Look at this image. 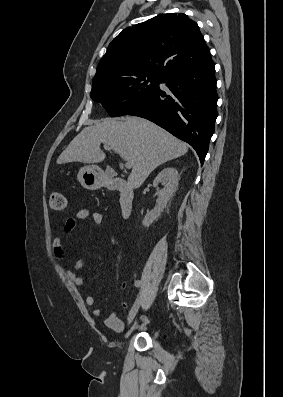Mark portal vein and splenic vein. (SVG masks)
Returning <instances> with one entry per match:
<instances>
[{"label":"portal vein and splenic vein","instance_id":"obj_1","mask_svg":"<svg viewBox=\"0 0 283 397\" xmlns=\"http://www.w3.org/2000/svg\"><path fill=\"white\" fill-rule=\"evenodd\" d=\"M104 146H105V148H106L107 150H110V149H111L108 145H105V144H104ZM122 159H123V161H125V163H124L123 165H124L127 169H130V168H131L130 163L127 162L124 158H122Z\"/></svg>","mask_w":283,"mask_h":397}]
</instances>
